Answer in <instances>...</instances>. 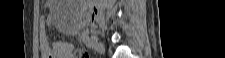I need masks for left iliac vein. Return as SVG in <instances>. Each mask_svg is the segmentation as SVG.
I'll list each match as a JSON object with an SVG mask.
<instances>
[{
    "label": "left iliac vein",
    "mask_w": 225,
    "mask_h": 58,
    "mask_svg": "<svg viewBox=\"0 0 225 58\" xmlns=\"http://www.w3.org/2000/svg\"><path fill=\"white\" fill-rule=\"evenodd\" d=\"M90 43H91L92 48L99 54H103L105 52V47L101 42L91 41Z\"/></svg>",
    "instance_id": "1"
}]
</instances>
